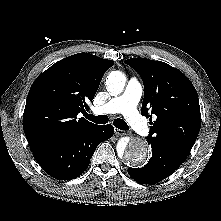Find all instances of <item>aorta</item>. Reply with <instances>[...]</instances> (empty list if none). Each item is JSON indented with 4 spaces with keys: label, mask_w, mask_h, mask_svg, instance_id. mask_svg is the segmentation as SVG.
<instances>
[{
    "label": "aorta",
    "mask_w": 221,
    "mask_h": 221,
    "mask_svg": "<svg viewBox=\"0 0 221 221\" xmlns=\"http://www.w3.org/2000/svg\"><path fill=\"white\" fill-rule=\"evenodd\" d=\"M126 83L125 75L120 71H112L106 80L107 91L117 96L124 90ZM118 154L130 165H143L149 154V147L147 143L139 138L129 139L122 138L117 143Z\"/></svg>",
    "instance_id": "1"
}]
</instances>
